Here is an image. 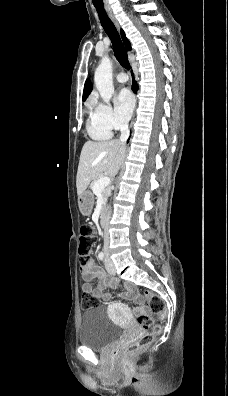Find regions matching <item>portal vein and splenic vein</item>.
I'll return each mask as SVG.
<instances>
[{
    "mask_svg": "<svg viewBox=\"0 0 228 396\" xmlns=\"http://www.w3.org/2000/svg\"><path fill=\"white\" fill-rule=\"evenodd\" d=\"M111 180L109 177H102L100 178L93 187L94 193L101 192L106 186L110 184Z\"/></svg>",
    "mask_w": 228,
    "mask_h": 396,
    "instance_id": "1",
    "label": "portal vein and splenic vein"
}]
</instances>
